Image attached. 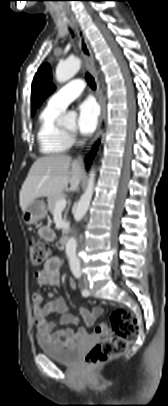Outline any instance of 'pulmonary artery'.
<instances>
[{"instance_id":"1","label":"pulmonary artery","mask_w":168,"mask_h":406,"mask_svg":"<svg viewBox=\"0 0 168 406\" xmlns=\"http://www.w3.org/2000/svg\"><path fill=\"white\" fill-rule=\"evenodd\" d=\"M85 83L81 79H74L57 90L48 100L50 107L64 110L83 91Z\"/></svg>"}]
</instances>
